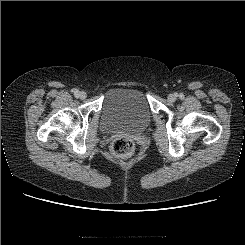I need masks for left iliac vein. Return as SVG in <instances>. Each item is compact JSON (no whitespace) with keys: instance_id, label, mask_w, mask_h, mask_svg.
<instances>
[{"instance_id":"obj_1","label":"left iliac vein","mask_w":245,"mask_h":245,"mask_svg":"<svg viewBox=\"0 0 245 245\" xmlns=\"http://www.w3.org/2000/svg\"><path fill=\"white\" fill-rule=\"evenodd\" d=\"M176 95L175 94H169L168 95V100L170 101V102H174V101H176Z\"/></svg>"}]
</instances>
